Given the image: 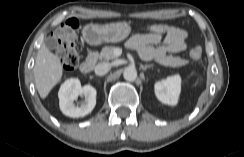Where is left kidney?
Returning a JSON list of instances; mask_svg holds the SVG:
<instances>
[{
  "mask_svg": "<svg viewBox=\"0 0 244 157\" xmlns=\"http://www.w3.org/2000/svg\"><path fill=\"white\" fill-rule=\"evenodd\" d=\"M154 88L158 100L164 104L176 105L181 90V78L179 75L170 76L157 82Z\"/></svg>",
  "mask_w": 244,
  "mask_h": 157,
  "instance_id": "5707ae66",
  "label": "left kidney"
}]
</instances>
